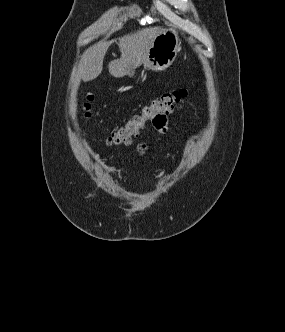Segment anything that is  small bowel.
I'll return each instance as SVG.
<instances>
[{
    "label": "small bowel",
    "mask_w": 285,
    "mask_h": 332,
    "mask_svg": "<svg viewBox=\"0 0 285 332\" xmlns=\"http://www.w3.org/2000/svg\"><path fill=\"white\" fill-rule=\"evenodd\" d=\"M149 122L151 126H157L158 133H165L168 122V115H166L164 111H157L156 115H149ZM145 147L146 145L141 143L139 145L140 151H143Z\"/></svg>",
    "instance_id": "c3829d8e"
}]
</instances>
